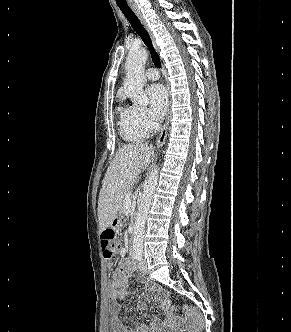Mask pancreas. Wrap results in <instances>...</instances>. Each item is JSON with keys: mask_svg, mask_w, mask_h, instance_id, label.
<instances>
[{"mask_svg": "<svg viewBox=\"0 0 291 332\" xmlns=\"http://www.w3.org/2000/svg\"><path fill=\"white\" fill-rule=\"evenodd\" d=\"M128 196H129V191L126 192V193L123 195V197H122V199H121V201H120V212H121V213H124V212L126 211V208H125V200L127 199Z\"/></svg>", "mask_w": 291, "mask_h": 332, "instance_id": "obj_1", "label": "pancreas"}]
</instances>
